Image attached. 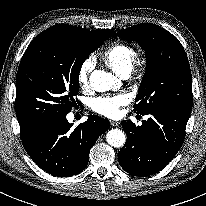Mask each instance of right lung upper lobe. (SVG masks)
I'll list each match as a JSON object with an SVG mask.
<instances>
[{"mask_svg":"<svg viewBox=\"0 0 206 206\" xmlns=\"http://www.w3.org/2000/svg\"><path fill=\"white\" fill-rule=\"evenodd\" d=\"M53 28L64 29V30H67V31H70V32H73V33H76V34H79V35L86 36V37H93V36H95L99 33L110 31V32L114 33V35L116 37L115 32L112 31V30H109V29L90 31V30H87V29H84V28L75 27V26H71V25H67V24H58V25L53 26Z\"/></svg>","mask_w":206,"mask_h":206,"instance_id":"cb5924a9","label":"right lung upper lobe"}]
</instances>
